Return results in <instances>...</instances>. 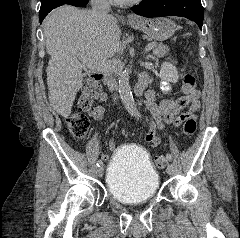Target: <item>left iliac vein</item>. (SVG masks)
<instances>
[{
    "label": "left iliac vein",
    "mask_w": 240,
    "mask_h": 238,
    "mask_svg": "<svg viewBox=\"0 0 240 238\" xmlns=\"http://www.w3.org/2000/svg\"><path fill=\"white\" fill-rule=\"evenodd\" d=\"M173 171H174L173 165L168 164L167 169H166L167 174L171 175L173 173Z\"/></svg>",
    "instance_id": "1"
}]
</instances>
